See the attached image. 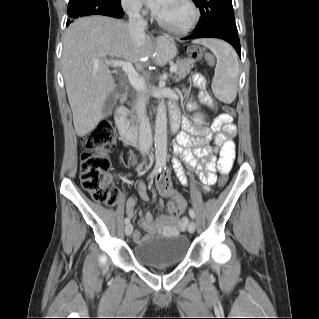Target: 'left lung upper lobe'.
Here are the masks:
<instances>
[{"mask_svg": "<svg viewBox=\"0 0 319 319\" xmlns=\"http://www.w3.org/2000/svg\"><path fill=\"white\" fill-rule=\"evenodd\" d=\"M199 7L202 18L195 30L224 28L237 31L232 0H193Z\"/></svg>", "mask_w": 319, "mask_h": 319, "instance_id": "obj_1", "label": "left lung upper lobe"}]
</instances>
